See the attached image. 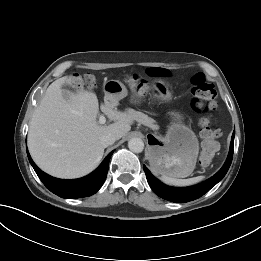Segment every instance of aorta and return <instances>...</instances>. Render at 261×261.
I'll list each match as a JSON object with an SVG mask.
<instances>
[{"label": "aorta", "mask_w": 261, "mask_h": 261, "mask_svg": "<svg viewBox=\"0 0 261 261\" xmlns=\"http://www.w3.org/2000/svg\"><path fill=\"white\" fill-rule=\"evenodd\" d=\"M128 148L134 153H141L144 149V142L140 138H132L128 141Z\"/></svg>", "instance_id": "762f6f07"}]
</instances>
